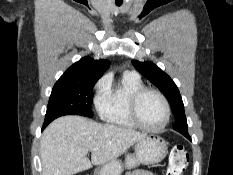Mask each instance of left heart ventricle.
Masks as SVG:
<instances>
[{"mask_svg": "<svg viewBox=\"0 0 233 175\" xmlns=\"http://www.w3.org/2000/svg\"><path fill=\"white\" fill-rule=\"evenodd\" d=\"M141 121L149 127L160 126L165 119V109L160 98L154 93L142 96L138 106Z\"/></svg>", "mask_w": 233, "mask_h": 175, "instance_id": "1", "label": "left heart ventricle"}]
</instances>
